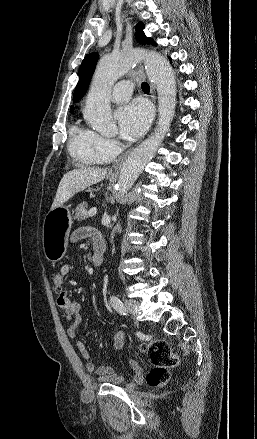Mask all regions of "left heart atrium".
Here are the masks:
<instances>
[{
	"instance_id": "obj_1",
	"label": "left heart atrium",
	"mask_w": 257,
	"mask_h": 439,
	"mask_svg": "<svg viewBox=\"0 0 257 439\" xmlns=\"http://www.w3.org/2000/svg\"><path fill=\"white\" fill-rule=\"evenodd\" d=\"M116 119L123 138H137L144 133L150 123L151 109L146 102L136 100L119 108Z\"/></svg>"
}]
</instances>
